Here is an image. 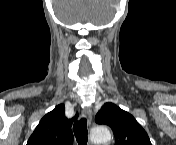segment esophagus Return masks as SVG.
Listing matches in <instances>:
<instances>
[{
	"label": "esophagus",
	"mask_w": 176,
	"mask_h": 145,
	"mask_svg": "<svg viewBox=\"0 0 176 145\" xmlns=\"http://www.w3.org/2000/svg\"><path fill=\"white\" fill-rule=\"evenodd\" d=\"M82 115H83L85 118H87L88 123L90 124L91 121H92V113H91L90 108H88V107L83 108V110H82Z\"/></svg>",
	"instance_id": "esophagus-1"
}]
</instances>
